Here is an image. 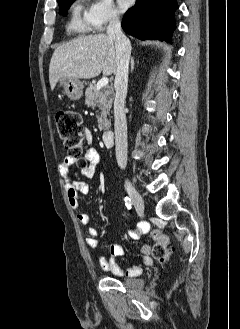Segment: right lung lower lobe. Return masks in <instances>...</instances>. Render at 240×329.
Listing matches in <instances>:
<instances>
[{
    "instance_id": "right-lung-lower-lobe-1",
    "label": "right lung lower lobe",
    "mask_w": 240,
    "mask_h": 329,
    "mask_svg": "<svg viewBox=\"0 0 240 329\" xmlns=\"http://www.w3.org/2000/svg\"><path fill=\"white\" fill-rule=\"evenodd\" d=\"M176 0H136L122 20V28L141 40L166 39L170 41L175 28L173 20Z\"/></svg>"
}]
</instances>
